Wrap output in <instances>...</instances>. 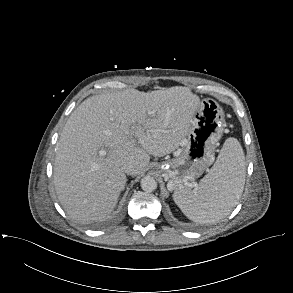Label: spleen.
Returning <instances> with one entry per match:
<instances>
[{
  "label": "spleen",
  "instance_id": "3e777b00",
  "mask_svg": "<svg viewBox=\"0 0 293 293\" xmlns=\"http://www.w3.org/2000/svg\"><path fill=\"white\" fill-rule=\"evenodd\" d=\"M245 156L239 141L226 139L210 172L191 190H177L173 199L181 211L198 223H215L228 216L245 184Z\"/></svg>",
  "mask_w": 293,
  "mask_h": 293
}]
</instances>
